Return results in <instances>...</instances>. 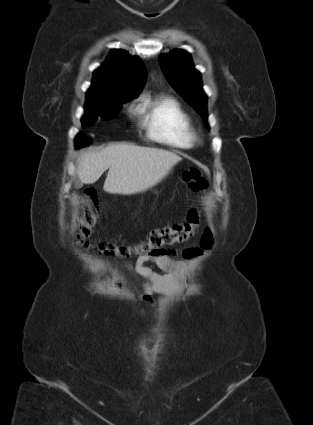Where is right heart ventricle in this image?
<instances>
[{
    "mask_svg": "<svg viewBox=\"0 0 313 425\" xmlns=\"http://www.w3.org/2000/svg\"><path fill=\"white\" fill-rule=\"evenodd\" d=\"M147 136L174 148H190L196 133L188 114L169 97L144 96L137 107Z\"/></svg>",
    "mask_w": 313,
    "mask_h": 425,
    "instance_id": "1",
    "label": "right heart ventricle"
}]
</instances>
